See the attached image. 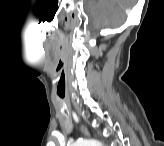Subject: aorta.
<instances>
[{"label": "aorta", "mask_w": 164, "mask_h": 146, "mask_svg": "<svg viewBox=\"0 0 164 146\" xmlns=\"http://www.w3.org/2000/svg\"><path fill=\"white\" fill-rule=\"evenodd\" d=\"M101 143L97 140H83L79 142V146H100Z\"/></svg>", "instance_id": "1"}]
</instances>
